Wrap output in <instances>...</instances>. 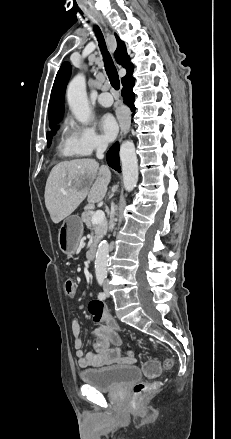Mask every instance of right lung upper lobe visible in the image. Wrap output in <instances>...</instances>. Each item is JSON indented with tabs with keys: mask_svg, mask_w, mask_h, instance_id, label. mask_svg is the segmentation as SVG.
<instances>
[{
	"mask_svg": "<svg viewBox=\"0 0 231 439\" xmlns=\"http://www.w3.org/2000/svg\"><path fill=\"white\" fill-rule=\"evenodd\" d=\"M116 40H117V49L114 53V57L116 61L119 64L123 65L127 70L126 76L122 78V82H123L126 79L132 77L133 64L130 63L124 42L121 41L117 35H116ZM70 74H71L70 64L67 62L63 63L56 75L51 92L50 103L48 106L50 127L56 126L62 119L64 112V93Z\"/></svg>",
	"mask_w": 231,
	"mask_h": 439,
	"instance_id": "1",
	"label": "right lung upper lobe"
}]
</instances>
